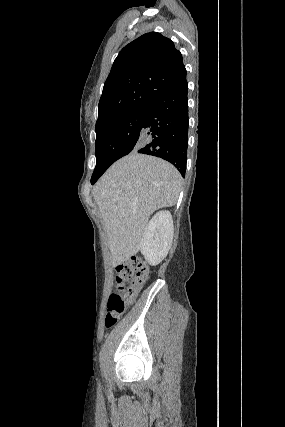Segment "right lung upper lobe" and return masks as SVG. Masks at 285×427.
Here are the masks:
<instances>
[{
    "label": "right lung upper lobe",
    "instance_id": "1",
    "mask_svg": "<svg viewBox=\"0 0 285 427\" xmlns=\"http://www.w3.org/2000/svg\"><path fill=\"white\" fill-rule=\"evenodd\" d=\"M186 81L182 55L157 32L126 45L115 59L99 101L96 127L120 114L147 107Z\"/></svg>",
    "mask_w": 285,
    "mask_h": 427
}]
</instances>
